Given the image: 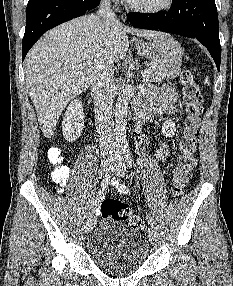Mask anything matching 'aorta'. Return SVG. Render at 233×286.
I'll return each instance as SVG.
<instances>
[{"mask_svg":"<svg viewBox=\"0 0 233 286\" xmlns=\"http://www.w3.org/2000/svg\"><path fill=\"white\" fill-rule=\"evenodd\" d=\"M128 109V90L125 83L120 88V92L116 102L115 108V127L116 140L118 142L125 141L126 138V116Z\"/></svg>","mask_w":233,"mask_h":286,"instance_id":"aorta-1","label":"aorta"}]
</instances>
